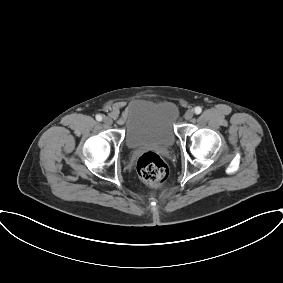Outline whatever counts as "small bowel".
<instances>
[{
  "instance_id": "c3829d8e",
  "label": "small bowel",
  "mask_w": 283,
  "mask_h": 283,
  "mask_svg": "<svg viewBox=\"0 0 283 283\" xmlns=\"http://www.w3.org/2000/svg\"><path fill=\"white\" fill-rule=\"evenodd\" d=\"M127 115V108L123 102L116 103L110 109V116L115 119L119 124L125 122Z\"/></svg>"
}]
</instances>
